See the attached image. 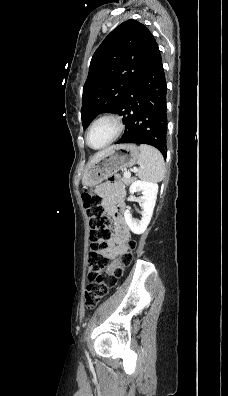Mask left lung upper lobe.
<instances>
[{"instance_id": "left-lung-upper-lobe-1", "label": "left lung upper lobe", "mask_w": 228, "mask_h": 396, "mask_svg": "<svg viewBox=\"0 0 228 396\" xmlns=\"http://www.w3.org/2000/svg\"><path fill=\"white\" fill-rule=\"evenodd\" d=\"M156 41L130 19L116 27L95 51L83 87L82 125L100 113H117L142 71Z\"/></svg>"}]
</instances>
